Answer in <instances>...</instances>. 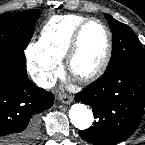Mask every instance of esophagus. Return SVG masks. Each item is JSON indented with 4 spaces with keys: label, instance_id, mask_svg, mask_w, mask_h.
Returning <instances> with one entry per match:
<instances>
[{
    "label": "esophagus",
    "instance_id": "obj_1",
    "mask_svg": "<svg viewBox=\"0 0 145 145\" xmlns=\"http://www.w3.org/2000/svg\"><path fill=\"white\" fill-rule=\"evenodd\" d=\"M59 99L64 104H70L72 102V100H73L71 97L66 96V95H60Z\"/></svg>",
    "mask_w": 145,
    "mask_h": 145
}]
</instances>
